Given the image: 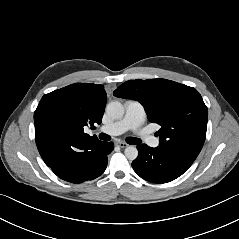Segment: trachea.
I'll return each mask as SVG.
<instances>
[{"instance_id":"3493384b","label":"trachea","mask_w":239,"mask_h":239,"mask_svg":"<svg viewBox=\"0 0 239 239\" xmlns=\"http://www.w3.org/2000/svg\"><path fill=\"white\" fill-rule=\"evenodd\" d=\"M99 138L101 140H105V141H109L111 139V137L105 133H100L99 134ZM127 143L132 144V145H136L141 143V140L138 138H134V137H129L127 138Z\"/></svg>"}]
</instances>
